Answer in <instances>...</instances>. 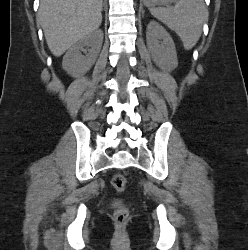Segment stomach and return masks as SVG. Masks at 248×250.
Returning <instances> with one entry per match:
<instances>
[{"label": "stomach", "instance_id": "stomach-1", "mask_svg": "<svg viewBox=\"0 0 248 250\" xmlns=\"http://www.w3.org/2000/svg\"><path fill=\"white\" fill-rule=\"evenodd\" d=\"M175 0H143V3L148 7L168 5Z\"/></svg>", "mask_w": 248, "mask_h": 250}]
</instances>
